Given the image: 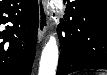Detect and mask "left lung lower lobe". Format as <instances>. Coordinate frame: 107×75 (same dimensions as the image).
I'll list each match as a JSON object with an SVG mask.
<instances>
[{"label": "left lung lower lobe", "instance_id": "0a47b994", "mask_svg": "<svg viewBox=\"0 0 107 75\" xmlns=\"http://www.w3.org/2000/svg\"><path fill=\"white\" fill-rule=\"evenodd\" d=\"M95 0H67L65 21L57 27L62 52L56 75H67L80 69H107V11L82 16L86 39L76 35L71 14L82 4ZM88 39V40H87Z\"/></svg>", "mask_w": 107, "mask_h": 75}]
</instances>
